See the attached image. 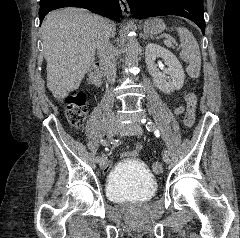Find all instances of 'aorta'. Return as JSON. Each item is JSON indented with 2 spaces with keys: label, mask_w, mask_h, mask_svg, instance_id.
Segmentation results:
<instances>
[{
  "label": "aorta",
  "mask_w": 240,
  "mask_h": 238,
  "mask_svg": "<svg viewBox=\"0 0 240 238\" xmlns=\"http://www.w3.org/2000/svg\"><path fill=\"white\" fill-rule=\"evenodd\" d=\"M139 42L135 36H131L127 42L126 48H125V63L127 65L133 64L139 54Z\"/></svg>",
  "instance_id": "1"
}]
</instances>
